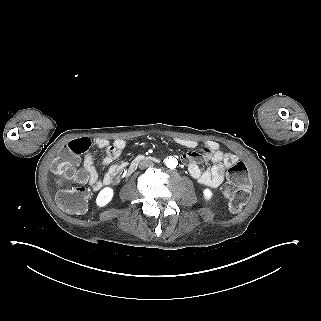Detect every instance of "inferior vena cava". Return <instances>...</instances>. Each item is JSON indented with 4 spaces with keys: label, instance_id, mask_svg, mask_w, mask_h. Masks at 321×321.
I'll use <instances>...</instances> for the list:
<instances>
[{
    "label": "inferior vena cava",
    "instance_id": "1",
    "mask_svg": "<svg viewBox=\"0 0 321 321\" xmlns=\"http://www.w3.org/2000/svg\"><path fill=\"white\" fill-rule=\"evenodd\" d=\"M153 166H154V162L151 161V160H141L139 162V168L140 169H145V168L153 167Z\"/></svg>",
    "mask_w": 321,
    "mask_h": 321
}]
</instances>
